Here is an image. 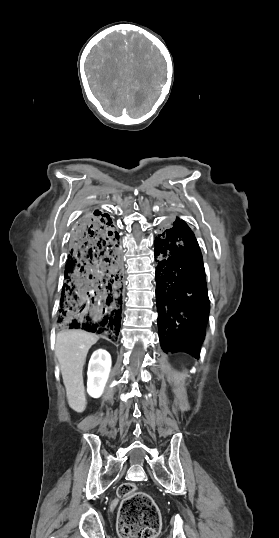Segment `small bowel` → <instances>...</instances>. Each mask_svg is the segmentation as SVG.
<instances>
[{"label":"small bowel","mask_w":279,"mask_h":538,"mask_svg":"<svg viewBox=\"0 0 279 538\" xmlns=\"http://www.w3.org/2000/svg\"><path fill=\"white\" fill-rule=\"evenodd\" d=\"M117 505V500H113L111 503V508L114 509Z\"/></svg>","instance_id":"small-bowel-1"}]
</instances>
